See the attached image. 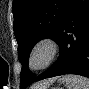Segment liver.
Wrapping results in <instances>:
<instances>
[{"label":"liver","mask_w":89,"mask_h":89,"mask_svg":"<svg viewBox=\"0 0 89 89\" xmlns=\"http://www.w3.org/2000/svg\"><path fill=\"white\" fill-rule=\"evenodd\" d=\"M55 81V78L49 79L48 81H45L42 85L34 86L33 89H46L49 85H51Z\"/></svg>","instance_id":"1"}]
</instances>
